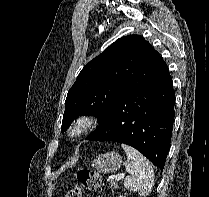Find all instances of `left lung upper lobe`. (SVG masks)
Wrapping results in <instances>:
<instances>
[{
	"label": "left lung upper lobe",
	"mask_w": 209,
	"mask_h": 197,
	"mask_svg": "<svg viewBox=\"0 0 209 197\" xmlns=\"http://www.w3.org/2000/svg\"><path fill=\"white\" fill-rule=\"evenodd\" d=\"M139 35L117 39L79 73L65 101L62 129L79 115H94L100 123L113 104L137 84L159 57Z\"/></svg>",
	"instance_id": "left-lung-upper-lobe-1"
}]
</instances>
